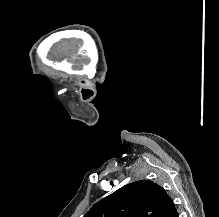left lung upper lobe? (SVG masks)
<instances>
[{
	"instance_id": "1",
	"label": "left lung upper lobe",
	"mask_w": 219,
	"mask_h": 217,
	"mask_svg": "<svg viewBox=\"0 0 219 217\" xmlns=\"http://www.w3.org/2000/svg\"><path fill=\"white\" fill-rule=\"evenodd\" d=\"M84 217H178V212L164 188L141 180L99 201Z\"/></svg>"
}]
</instances>
